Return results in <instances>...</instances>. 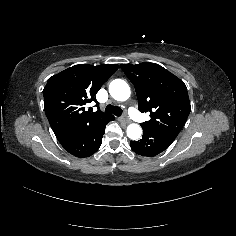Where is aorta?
<instances>
[{
    "instance_id": "aorta-1",
    "label": "aorta",
    "mask_w": 236,
    "mask_h": 236,
    "mask_svg": "<svg viewBox=\"0 0 236 236\" xmlns=\"http://www.w3.org/2000/svg\"><path fill=\"white\" fill-rule=\"evenodd\" d=\"M109 94L118 101H124L130 96L129 85L121 79L113 80L108 87ZM127 137L131 140H139L142 135V129L137 124H130L126 131Z\"/></svg>"
}]
</instances>
